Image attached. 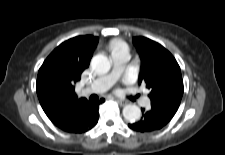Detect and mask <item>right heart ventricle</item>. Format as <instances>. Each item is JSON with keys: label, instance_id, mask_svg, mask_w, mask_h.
Here are the masks:
<instances>
[{"label": "right heart ventricle", "instance_id": "right-heart-ventricle-1", "mask_svg": "<svg viewBox=\"0 0 225 155\" xmlns=\"http://www.w3.org/2000/svg\"><path fill=\"white\" fill-rule=\"evenodd\" d=\"M121 47H126V45L121 41H113L110 45L111 51L117 50Z\"/></svg>", "mask_w": 225, "mask_h": 155}]
</instances>
